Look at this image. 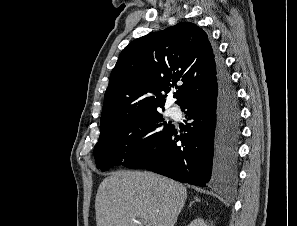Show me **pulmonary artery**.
Listing matches in <instances>:
<instances>
[{
  "instance_id": "obj_1",
  "label": "pulmonary artery",
  "mask_w": 297,
  "mask_h": 226,
  "mask_svg": "<svg viewBox=\"0 0 297 226\" xmlns=\"http://www.w3.org/2000/svg\"><path fill=\"white\" fill-rule=\"evenodd\" d=\"M170 113H171V116H173V117H177V116H179L180 111H179L178 108H175V107H174V108L171 109Z\"/></svg>"
}]
</instances>
